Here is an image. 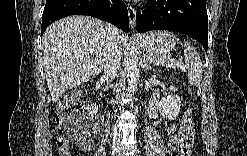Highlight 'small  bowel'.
Listing matches in <instances>:
<instances>
[{"mask_svg":"<svg viewBox=\"0 0 247 156\" xmlns=\"http://www.w3.org/2000/svg\"><path fill=\"white\" fill-rule=\"evenodd\" d=\"M150 113L153 117L156 115L153 103L150 105ZM163 133L168 138L171 153L178 154L182 151L188 154L191 151L194 142L193 124L182 129L177 122H173L163 128Z\"/></svg>","mask_w":247,"mask_h":156,"instance_id":"small-bowel-1","label":"small bowel"}]
</instances>
